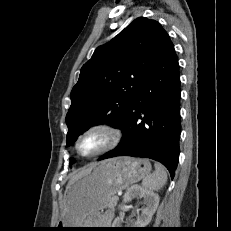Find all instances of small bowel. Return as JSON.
<instances>
[{"instance_id":"1","label":"small bowel","mask_w":231,"mask_h":231,"mask_svg":"<svg viewBox=\"0 0 231 231\" xmlns=\"http://www.w3.org/2000/svg\"><path fill=\"white\" fill-rule=\"evenodd\" d=\"M112 219V213L107 211V212H104L103 215H102V220L103 221H109Z\"/></svg>"}]
</instances>
